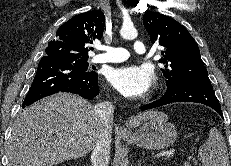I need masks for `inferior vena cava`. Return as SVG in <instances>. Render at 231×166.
Masks as SVG:
<instances>
[{
  "label": "inferior vena cava",
  "instance_id": "602c4592",
  "mask_svg": "<svg viewBox=\"0 0 231 166\" xmlns=\"http://www.w3.org/2000/svg\"><path fill=\"white\" fill-rule=\"evenodd\" d=\"M113 112L114 106L109 101L95 106V113L102 121V131L91 154L92 166H109Z\"/></svg>",
  "mask_w": 231,
  "mask_h": 166
}]
</instances>
